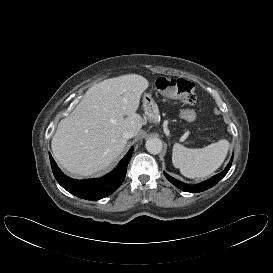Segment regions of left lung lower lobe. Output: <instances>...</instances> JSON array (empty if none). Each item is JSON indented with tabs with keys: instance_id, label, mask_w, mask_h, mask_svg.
<instances>
[{
	"instance_id": "left-lung-lower-lobe-1",
	"label": "left lung lower lobe",
	"mask_w": 273,
	"mask_h": 273,
	"mask_svg": "<svg viewBox=\"0 0 273 273\" xmlns=\"http://www.w3.org/2000/svg\"><path fill=\"white\" fill-rule=\"evenodd\" d=\"M232 160H233V156H232L229 164L226 166L224 171H222L221 173L213 176L212 178H210L202 183L192 185V186L176 180L175 178L171 177L170 175H168L165 172H164V175L172 184H174L175 186H177L178 188H180L183 191L191 192V193L202 192L204 190H207L208 188L213 187L218 181H220L227 174V172L229 171V169L231 167Z\"/></svg>"
}]
</instances>
